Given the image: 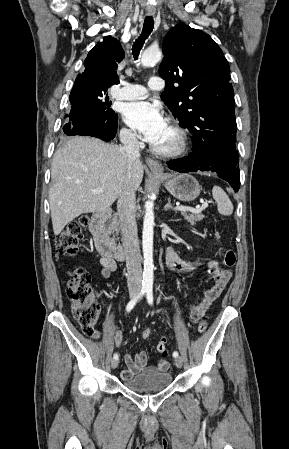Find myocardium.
<instances>
[{
	"label": "myocardium",
	"mask_w": 289,
	"mask_h": 449,
	"mask_svg": "<svg viewBox=\"0 0 289 449\" xmlns=\"http://www.w3.org/2000/svg\"><path fill=\"white\" fill-rule=\"evenodd\" d=\"M168 127L174 132L176 142L172 148L159 149L152 145L151 150L154 154L164 158H174L181 156L188 149V134L186 130L177 122L169 121Z\"/></svg>",
	"instance_id": "1"
}]
</instances>
